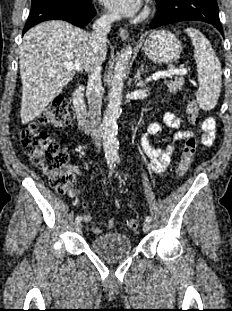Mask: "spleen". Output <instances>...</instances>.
<instances>
[{
	"label": "spleen",
	"mask_w": 232,
	"mask_h": 311,
	"mask_svg": "<svg viewBox=\"0 0 232 311\" xmlns=\"http://www.w3.org/2000/svg\"><path fill=\"white\" fill-rule=\"evenodd\" d=\"M185 32L192 40L197 65L199 89L197 102L205 111L217 104L222 85L221 64L208 39L197 29L187 28Z\"/></svg>",
	"instance_id": "3e777b00"
}]
</instances>
